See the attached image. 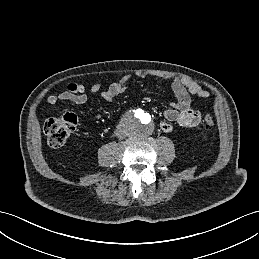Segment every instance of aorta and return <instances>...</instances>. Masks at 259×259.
Instances as JSON below:
<instances>
[{
  "label": "aorta",
  "mask_w": 259,
  "mask_h": 259,
  "mask_svg": "<svg viewBox=\"0 0 259 259\" xmlns=\"http://www.w3.org/2000/svg\"><path fill=\"white\" fill-rule=\"evenodd\" d=\"M126 131L134 137H146L153 132V116L146 109L132 110L124 122Z\"/></svg>",
  "instance_id": "1"
}]
</instances>
